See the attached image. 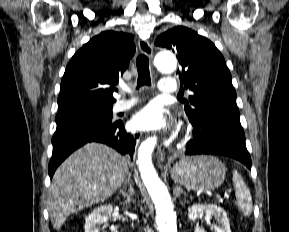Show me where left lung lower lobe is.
I'll return each instance as SVG.
<instances>
[{
  "label": "left lung lower lobe",
  "instance_id": "left-lung-lower-lobe-1",
  "mask_svg": "<svg viewBox=\"0 0 289 232\" xmlns=\"http://www.w3.org/2000/svg\"><path fill=\"white\" fill-rule=\"evenodd\" d=\"M185 154L228 156L251 169V158L246 149L245 135L240 123L212 120L193 126V136L186 144Z\"/></svg>",
  "mask_w": 289,
  "mask_h": 232
}]
</instances>
